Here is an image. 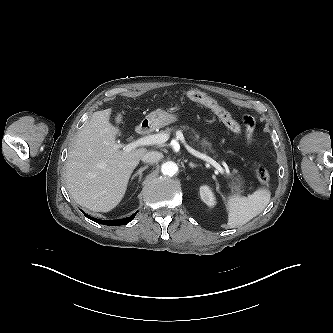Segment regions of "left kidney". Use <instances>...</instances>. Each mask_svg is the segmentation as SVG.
I'll use <instances>...</instances> for the list:
<instances>
[{
  "mask_svg": "<svg viewBox=\"0 0 333 333\" xmlns=\"http://www.w3.org/2000/svg\"><path fill=\"white\" fill-rule=\"evenodd\" d=\"M200 197L202 201L209 207H213L216 204L214 194L211 191L210 187L207 185H203L200 187Z\"/></svg>",
  "mask_w": 333,
  "mask_h": 333,
  "instance_id": "obj_1",
  "label": "left kidney"
}]
</instances>
